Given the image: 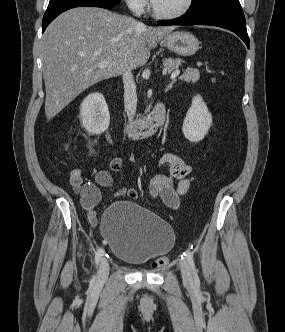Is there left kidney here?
<instances>
[{
	"instance_id": "1",
	"label": "left kidney",
	"mask_w": 285,
	"mask_h": 332,
	"mask_svg": "<svg viewBox=\"0 0 285 332\" xmlns=\"http://www.w3.org/2000/svg\"><path fill=\"white\" fill-rule=\"evenodd\" d=\"M212 125V116L200 95L192 99L183 122L182 131L186 139L190 142H199L207 135Z\"/></svg>"
}]
</instances>
